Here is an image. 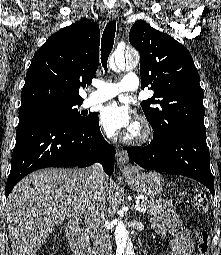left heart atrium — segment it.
Instances as JSON below:
<instances>
[{
  "instance_id": "1",
  "label": "left heart atrium",
  "mask_w": 221,
  "mask_h": 255,
  "mask_svg": "<svg viewBox=\"0 0 221 255\" xmlns=\"http://www.w3.org/2000/svg\"><path fill=\"white\" fill-rule=\"evenodd\" d=\"M100 122L109 135L129 131L134 126L132 112L127 105L110 102L100 112Z\"/></svg>"
}]
</instances>
